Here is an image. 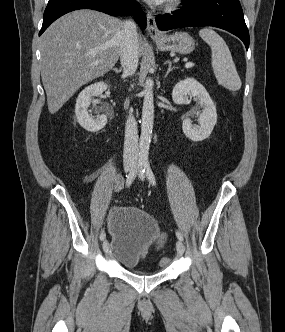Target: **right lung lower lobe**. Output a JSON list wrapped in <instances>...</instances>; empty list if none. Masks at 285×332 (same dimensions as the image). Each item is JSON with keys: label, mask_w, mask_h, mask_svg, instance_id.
Masks as SVG:
<instances>
[{"label": "right lung lower lobe", "mask_w": 285, "mask_h": 332, "mask_svg": "<svg viewBox=\"0 0 285 332\" xmlns=\"http://www.w3.org/2000/svg\"><path fill=\"white\" fill-rule=\"evenodd\" d=\"M77 9H93L112 16L133 14L141 29L146 28V16L135 0H49L39 35L57 18Z\"/></svg>", "instance_id": "1"}]
</instances>
